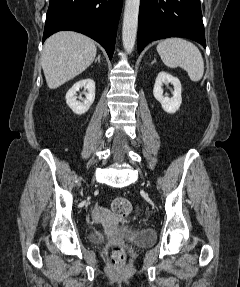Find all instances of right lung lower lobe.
I'll use <instances>...</instances> for the list:
<instances>
[{
    "mask_svg": "<svg viewBox=\"0 0 240 287\" xmlns=\"http://www.w3.org/2000/svg\"><path fill=\"white\" fill-rule=\"evenodd\" d=\"M122 0H50L43 42L53 33L72 30L100 43L111 59Z\"/></svg>",
    "mask_w": 240,
    "mask_h": 287,
    "instance_id": "98d812e1",
    "label": "right lung lower lobe"
}]
</instances>
